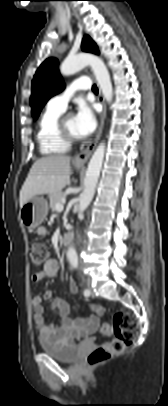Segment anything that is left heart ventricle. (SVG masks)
<instances>
[{
  "instance_id": "1",
  "label": "left heart ventricle",
  "mask_w": 168,
  "mask_h": 406,
  "mask_svg": "<svg viewBox=\"0 0 168 406\" xmlns=\"http://www.w3.org/2000/svg\"><path fill=\"white\" fill-rule=\"evenodd\" d=\"M65 125H66L67 130H68L71 134H73V135H75V136H78V133H77L76 127H75L74 116H72V115L69 116V117L66 119Z\"/></svg>"
}]
</instances>
